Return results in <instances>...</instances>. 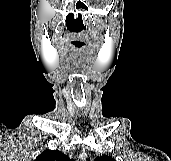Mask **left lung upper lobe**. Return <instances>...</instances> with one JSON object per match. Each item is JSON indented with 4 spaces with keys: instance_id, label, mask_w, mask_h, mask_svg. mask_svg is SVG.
<instances>
[{
    "instance_id": "left-lung-upper-lobe-1",
    "label": "left lung upper lobe",
    "mask_w": 171,
    "mask_h": 161,
    "mask_svg": "<svg viewBox=\"0 0 171 161\" xmlns=\"http://www.w3.org/2000/svg\"><path fill=\"white\" fill-rule=\"evenodd\" d=\"M94 161H115L111 156L104 155L97 157Z\"/></svg>"
}]
</instances>
